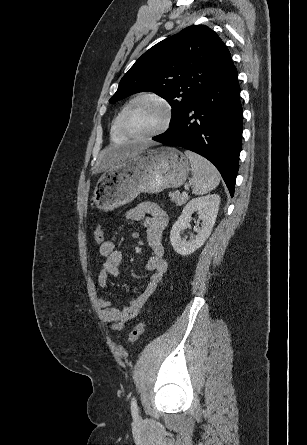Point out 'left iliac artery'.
<instances>
[{"label":"left iliac artery","mask_w":307,"mask_h":445,"mask_svg":"<svg viewBox=\"0 0 307 445\" xmlns=\"http://www.w3.org/2000/svg\"><path fill=\"white\" fill-rule=\"evenodd\" d=\"M131 413L135 419L138 417V406L134 397L131 400Z\"/></svg>","instance_id":"1"}]
</instances>
